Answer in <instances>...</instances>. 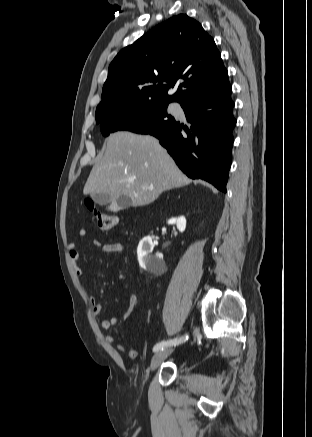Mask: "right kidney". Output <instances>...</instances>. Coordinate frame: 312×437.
<instances>
[{"mask_svg": "<svg viewBox=\"0 0 312 437\" xmlns=\"http://www.w3.org/2000/svg\"><path fill=\"white\" fill-rule=\"evenodd\" d=\"M168 224H176L178 230L183 232L186 228V219L183 216L172 218L168 221ZM153 248L154 243L150 236L144 237L137 248V256L140 266L150 272H155L164 265L162 257L158 254H151Z\"/></svg>", "mask_w": 312, "mask_h": 437, "instance_id": "1", "label": "right kidney"}]
</instances>
